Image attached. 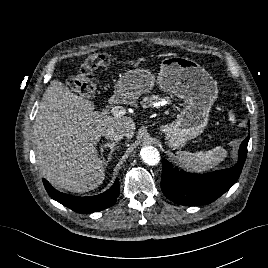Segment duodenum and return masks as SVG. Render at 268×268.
Returning a JSON list of instances; mask_svg holds the SVG:
<instances>
[{
  "mask_svg": "<svg viewBox=\"0 0 268 268\" xmlns=\"http://www.w3.org/2000/svg\"><path fill=\"white\" fill-rule=\"evenodd\" d=\"M109 101H110V104H111V105H116V104H118L119 98H118L117 95H113V96L110 98Z\"/></svg>",
  "mask_w": 268,
  "mask_h": 268,
  "instance_id": "1",
  "label": "duodenum"
}]
</instances>
